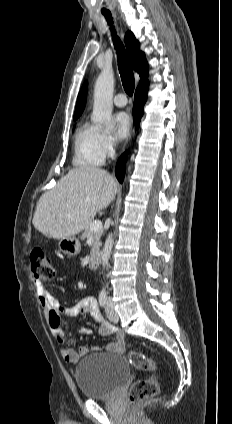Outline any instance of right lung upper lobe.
Masks as SVG:
<instances>
[{
    "label": "right lung upper lobe",
    "mask_w": 232,
    "mask_h": 424,
    "mask_svg": "<svg viewBox=\"0 0 232 424\" xmlns=\"http://www.w3.org/2000/svg\"><path fill=\"white\" fill-rule=\"evenodd\" d=\"M125 44L129 54L131 65L133 69L136 72H138L140 75L139 86L148 83L147 81L148 64H147L144 53L140 51L139 42L136 40L135 36L133 35L131 31H128L125 34ZM87 88H88V84L87 82H85L77 98L74 117H77V116L79 117L85 108Z\"/></svg>",
    "instance_id": "right-lung-upper-lobe-1"
}]
</instances>
